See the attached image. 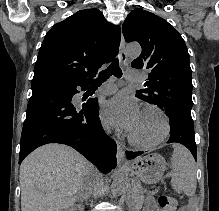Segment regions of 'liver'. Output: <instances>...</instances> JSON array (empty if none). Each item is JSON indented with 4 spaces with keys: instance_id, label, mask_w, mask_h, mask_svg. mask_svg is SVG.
<instances>
[{
    "instance_id": "6515ba94",
    "label": "liver",
    "mask_w": 219,
    "mask_h": 211,
    "mask_svg": "<svg viewBox=\"0 0 219 211\" xmlns=\"http://www.w3.org/2000/svg\"><path fill=\"white\" fill-rule=\"evenodd\" d=\"M88 175L93 185L94 165L73 147L62 143L37 147L20 165L22 211H69Z\"/></svg>"
}]
</instances>
